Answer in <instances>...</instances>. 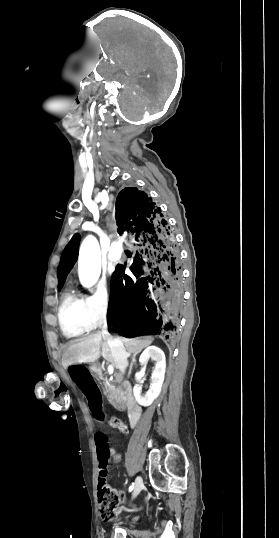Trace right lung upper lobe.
Masks as SVG:
<instances>
[{"label": "right lung upper lobe", "instance_id": "cb5924a9", "mask_svg": "<svg viewBox=\"0 0 279 538\" xmlns=\"http://www.w3.org/2000/svg\"><path fill=\"white\" fill-rule=\"evenodd\" d=\"M125 335H132V334H131V333H127V334H125Z\"/></svg>", "mask_w": 279, "mask_h": 538}]
</instances>
